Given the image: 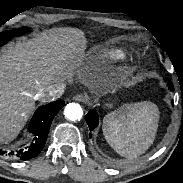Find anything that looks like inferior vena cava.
Segmentation results:
<instances>
[{
	"mask_svg": "<svg viewBox=\"0 0 183 183\" xmlns=\"http://www.w3.org/2000/svg\"><path fill=\"white\" fill-rule=\"evenodd\" d=\"M64 89L65 86L62 83L51 84L40 89L35 95V98L42 102H49L59 98L63 94Z\"/></svg>",
	"mask_w": 183,
	"mask_h": 183,
	"instance_id": "1",
	"label": "inferior vena cava"
}]
</instances>
